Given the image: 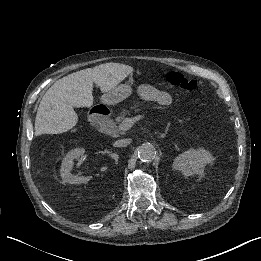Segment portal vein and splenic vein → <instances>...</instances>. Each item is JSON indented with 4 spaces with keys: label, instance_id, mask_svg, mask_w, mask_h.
Returning a JSON list of instances; mask_svg holds the SVG:
<instances>
[{
    "label": "portal vein and splenic vein",
    "instance_id": "portal-vein-and-splenic-vein-1",
    "mask_svg": "<svg viewBox=\"0 0 261 261\" xmlns=\"http://www.w3.org/2000/svg\"><path fill=\"white\" fill-rule=\"evenodd\" d=\"M146 120V115L138 114L136 117L133 118H125L119 125L122 131L129 130L134 123H138V121Z\"/></svg>",
    "mask_w": 261,
    "mask_h": 261
}]
</instances>
